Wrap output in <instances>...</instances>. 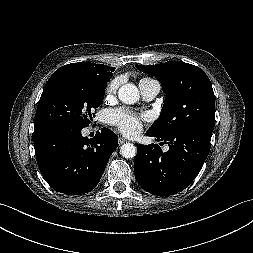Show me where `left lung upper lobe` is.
I'll use <instances>...</instances> for the list:
<instances>
[{
	"label": "left lung upper lobe",
	"mask_w": 253,
	"mask_h": 253,
	"mask_svg": "<svg viewBox=\"0 0 253 253\" xmlns=\"http://www.w3.org/2000/svg\"><path fill=\"white\" fill-rule=\"evenodd\" d=\"M136 68L158 79L166 94L160 117L149 132L168 137L197 127L214 129L215 97L202 69L182 61L136 65Z\"/></svg>",
	"instance_id": "5c2ea615"
}]
</instances>
